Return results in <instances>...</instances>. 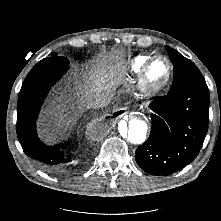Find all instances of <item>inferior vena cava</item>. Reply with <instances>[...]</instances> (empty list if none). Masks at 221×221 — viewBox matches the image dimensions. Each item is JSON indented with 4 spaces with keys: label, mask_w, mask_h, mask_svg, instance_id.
I'll return each instance as SVG.
<instances>
[{
    "label": "inferior vena cava",
    "mask_w": 221,
    "mask_h": 221,
    "mask_svg": "<svg viewBox=\"0 0 221 221\" xmlns=\"http://www.w3.org/2000/svg\"><path fill=\"white\" fill-rule=\"evenodd\" d=\"M112 96L110 94H101L95 97L90 103V108H104L110 104Z\"/></svg>",
    "instance_id": "inferior-vena-cava-1"
}]
</instances>
